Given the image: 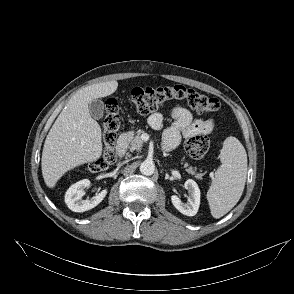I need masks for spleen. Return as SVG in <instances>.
<instances>
[{"instance_id":"1","label":"spleen","mask_w":294,"mask_h":294,"mask_svg":"<svg viewBox=\"0 0 294 294\" xmlns=\"http://www.w3.org/2000/svg\"><path fill=\"white\" fill-rule=\"evenodd\" d=\"M221 166L207 192L211 214L220 218L239 201L246 182L247 154L235 137H227L220 152Z\"/></svg>"}]
</instances>
